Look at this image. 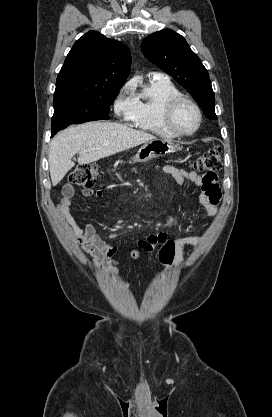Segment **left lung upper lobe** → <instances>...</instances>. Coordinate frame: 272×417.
Instances as JSON below:
<instances>
[{"mask_svg": "<svg viewBox=\"0 0 272 417\" xmlns=\"http://www.w3.org/2000/svg\"><path fill=\"white\" fill-rule=\"evenodd\" d=\"M141 49L149 61L188 90L209 119H216L209 74L181 35L170 29L155 32L143 40Z\"/></svg>", "mask_w": 272, "mask_h": 417, "instance_id": "obj_1", "label": "left lung upper lobe"}]
</instances>
